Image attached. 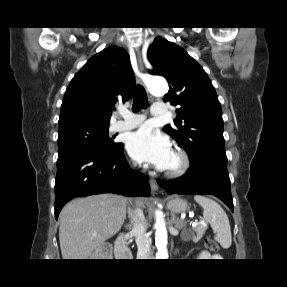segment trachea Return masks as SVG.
I'll return each instance as SVG.
<instances>
[{"label":"trachea","instance_id":"obj_1","mask_svg":"<svg viewBox=\"0 0 287 287\" xmlns=\"http://www.w3.org/2000/svg\"><path fill=\"white\" fill-rule=\"evenodd\" d=\"M148 107L147 93L143 86L137 85L134 89V99L132 110L137 112L141 109H146Z\"/></svg>","mask_w":287,"mask_h":287}]
</instances>
